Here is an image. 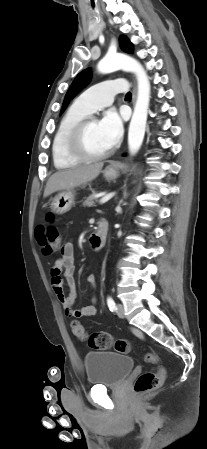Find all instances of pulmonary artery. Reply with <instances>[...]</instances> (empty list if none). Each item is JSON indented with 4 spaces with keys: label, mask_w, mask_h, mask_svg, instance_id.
Instances as JSON below:
<instances>
[{
    "label": "pulmonary artery",
    "mask_w": 207,
    "mask_h": 449,
    "mask_svg": "<svg viewBox=\"0 0 207 449\" xmlns=\"http://www.w3.org/2000/svg\"><path fill=\"white\" fill-rule=\"evenodd\" d=\"M123 80H106L86 89L75 101L76 105L88 113H93L112 104L114 96L127 91Z\"/></svg>",
    "instance_id": "pulmonary-artery-1"
}]
</instances>
